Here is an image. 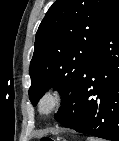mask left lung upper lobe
<instances>
[{
  "instance_id": "obj_1",
  "label": "left lung upper lobe",
  "mask_w": 119,
  "mask_h": 141,
  "mask_svg": "<svg viewBox=\"0 0 119 141\" xmlns=\"http://www.w3.org/2000/svg\"><path fill=\"white\" fill-rule=\"evenodd\" d=\"M119 0H57L36 33L29 98L35 106L53 88L62 101L78 86Z\"/></svg>"
}]
</instances>
